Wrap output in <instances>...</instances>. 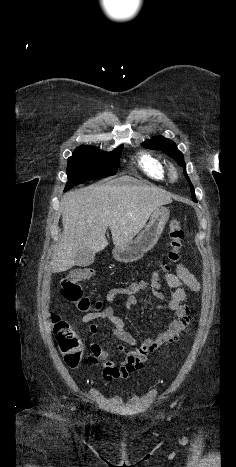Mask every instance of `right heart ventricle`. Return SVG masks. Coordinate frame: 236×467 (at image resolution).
I'll return each mask as SVG.
<instances>
[{
	"mask_svg": "<svg viewBox=\"0 0 236 467\" xmlns=\"http://www.w3.org/2000/svg\"><path fill=\"white\" fill-rule=\"evenodd\" d=\"M138 162L147 176L156 180H163L165 178L166 168L158 157L145 153L139 157Z\"/></svg>",
	"mask_w": 236,
	"mask_h": 467,
	"instance_id": "obj_1",
	"label": "right heart ventricle"
}]
</instances>
